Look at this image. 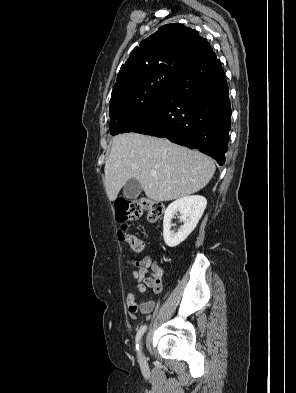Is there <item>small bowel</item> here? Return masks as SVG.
Returning a JSON list of instances; mask_svg holds the SVG:
<instances>
[{"label":"small bowel","mask_w":296,"mask_h":393,"mask_svg":"<svg viewBox=\"0 0 296 393\" xmlns=\"http://www.w3.org/2000/svg\"><path fill=\"white\" fill-rule=\"evenodd\" d=\"M158 265L156 260L151 256H145L141 260L133 261V277L137 281L136 292L144 293L146 286H151L154 293H160L162 285L160 281L155 283L147 277L148 273H157ZM126 303L128 312L132 319L137 320L140 316L151 313L155 308V302L152 300L138 303L136 300L135 292H129L126 296Z\"/></svg>","instance_id":"obj_1"}]
</instances>
